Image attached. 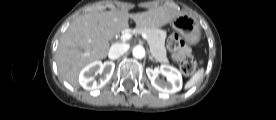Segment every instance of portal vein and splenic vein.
<instances>
[{
	"label": "portal vein and splenic vein",
	"instance_id": "18ae733b",
	"mask_svg": "<svg viewBox=\"0 0 276 120\" xmlns=\"http://www.w3.org/2000/svg\"><path fill=\"white\" fill-rule=\"evenodd\" d=\"M142 37L146 40L148 39L147 35L144 33H142ZM130 38H131V34L129 32L122 34V36L120 37L122 41H128Z\"/></svg>",
	"mask_w": 276,
	"mask_h": 120
}]
</instances>
